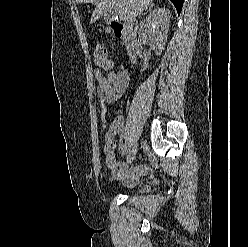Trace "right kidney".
I'll use <instances>...</instances> for the list:
<instances>
[{
	"mask_svg": "<svg viewBox=\"0 0 248 247\" xmlns=\"http://www.w3.org/2000/svg\"><path fill=\"white\" fill-rule=\"evenodd\" d=\"M170 18L169 9L157 8L141 23L139 38L147 42L157 55H160L165 48Z\"/></svg>",
	"mask_w": 248,
	"mask_h": 247,
	"instance_id": "1",
	"label": "right kidney"
}]
</instances>
